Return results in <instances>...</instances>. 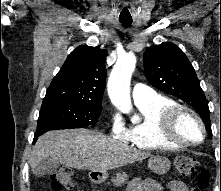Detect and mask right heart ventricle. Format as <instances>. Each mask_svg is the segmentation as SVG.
Masks as SVG:
<instances>
[{"label": "right heart ventricle", "mask_w": 221, "mask_h": 191, "mask_svg": "<svg viewBox=\"0 0 221 191\" xmlns=\"http://www.w3.org/2000/svg\"><path fill=\"white\" fill-rule=\"evenodd\" d=\"M176 103L165 96L157 95L149 102L136 104L142 119L127 128L126 141L144 150H155L161 148H180L181 145L167 143L160 134V117L165 108Z\"/></svg>", "instance_id": "right-heart-ventricle-1"}]
</instances>
